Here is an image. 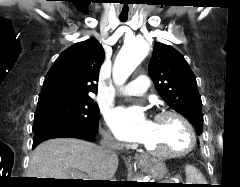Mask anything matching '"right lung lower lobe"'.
I'll use <instances>...</instances> for the list:
<instances>
[{"label": "right lung lower lobe", "mask_w": 240, "mask_h": 187, "mask_svg": "<svg viewBox=\"0 0 240 187\" xmlns=\"http://www.w3.org/2000/svg\"><path fill=\"white\" fill-rule=\"evenodd\" d=\"M97 133L98 128L80 131L65 126L52 125L34 132L33 148H35L43 141L61 137L79 138L87 141H92L94 140Z\"/></svg>", "instance_id": "98d812e1"}]
</instances>
